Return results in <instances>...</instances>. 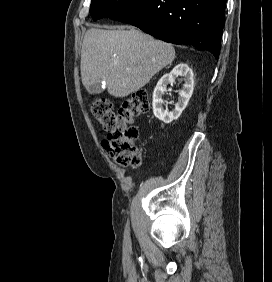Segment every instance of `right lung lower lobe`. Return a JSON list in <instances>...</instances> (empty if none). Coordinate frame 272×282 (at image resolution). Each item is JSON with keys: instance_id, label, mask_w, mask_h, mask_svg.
Masks as SVG:
<instances>
[{"instance_id": "obj_1", "label": "right lung lower lobe", "mask_w": 272, "mask_h": 282, "mask_svg": "<svg viewBox=\"0 0 272 282\" xmlns=\"http://www.w3.org/2000/svg\"><path fill=\"white\" fill-rule=\"evenodd\" d=\"M226 0H137L109 18L173 44H191L219 57Z\"/></svg>"}]
</instances>
